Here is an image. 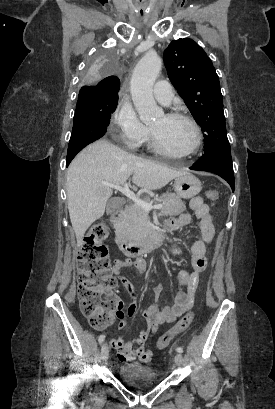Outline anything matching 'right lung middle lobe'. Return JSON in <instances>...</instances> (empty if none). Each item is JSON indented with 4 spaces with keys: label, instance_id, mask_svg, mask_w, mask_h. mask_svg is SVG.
Instances as JSON below:
<instances>
[{
    "label": "right lung middle lobe",
    "instance_id": "obj_1",
    "mask_svg": "<svg viewBox=\"0 0 275 409\" xmlns=\"http://www.w3.org/2000/svg\"><path fill=\"white\" fill-rule=\"evenodd\" d=\"M83 72V85H100L109 73L120 72L118 50H92ZM118 97L101 98L79 94L68 145L66 166L88 144L101 138L107 131L111 114L116 110Z\"/></svg>",
    "mask_w": 275,
    "mask_h": 409
}]
</instances>
